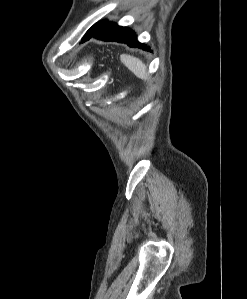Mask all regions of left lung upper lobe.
Instances as JSON below:
<instances>
[{
	"mask_svg": "<svg viewBox=\"0 0 247 299\" xmlns=\"http://www.w3.org/2000/svg\"><path fill=\"white\" fill-rule=\"evenodd\" d=\"M103 22H104V21H100V22L94 24V25L87 31V33H89L90 31H92V30H94V29H96V28H97L99 25H101ZM87 33H86V34H87Z\"/></svg>",
	"mask_w": 247,
	"mask_h": 299,
	"instance_id": "5c2ea615",
	"label": "left lung upper lobe"
}]
</instances>
